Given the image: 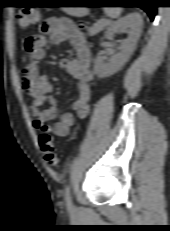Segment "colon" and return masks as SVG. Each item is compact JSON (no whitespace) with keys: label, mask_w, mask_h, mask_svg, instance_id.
Returning <instances> with one entry per match:
<instances>
[{"label":"colon","mask_w":170,"mask_h":231,"mask_svg":"<svg viewBox=\"0 0 170 231\" xmlns=\"http://www.w3.org/2000/svg\"><path fill=\"white\" fill-rule=\"evenodd\" d=\"M39 18L38 11L29 7L22 8L18 14L19 24L24 28L36 24L39 21ZM37 46L38 40L35 36L26 38L23 44L24 50L28 53L34 52ZM39 145L46 162L53 167H57L58 158L51 136L47 133H42L39 137Z\"/></svg>","instance_id":"colon-1"}]
</instances>
